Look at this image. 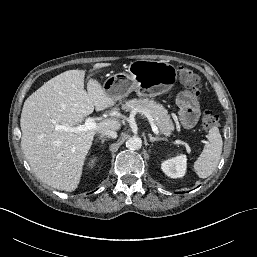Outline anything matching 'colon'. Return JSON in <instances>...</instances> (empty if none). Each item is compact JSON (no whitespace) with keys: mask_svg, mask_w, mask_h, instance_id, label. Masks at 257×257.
<instances>
[{"mask_svg":"<svg viewBox=\"0 0 257 257\" xmlns=\"http://www.w3.org/2000/svg\"><path fill=\"white\" fill-rule=\"evenodd\" d=\"M178 75L180 82L192 90L196 95L201 94L202 85L197 74L191 70L180 67L178 69ZM219 122V116L210 110L204 111L201 116V125L204 130L209 131L217 126Z\"/></svg>","mask_w":257,"mask_h":257,"instance_id":"1","label":"colon"}]
</instances>
